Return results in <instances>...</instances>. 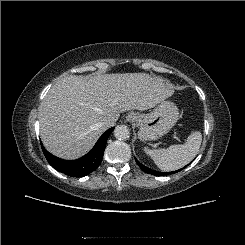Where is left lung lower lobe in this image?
Returning <instances> with one entry per match:
<instances>
[{"label":"left lung lower lobe","instance_id":"0a47b994","mask_svg":"<svg viewBox=\"0 0 245 245\" xmlns=\"http://www.w3.org/2000/svg\"><path fill=\"white\" fill-rule=\"evenodd\" d=\"M135 160H136L138 166H139L144 172H146V173H149V174H152V175H158V176H162V175H167V174H169V173H165V172H157V171L151 170V169L145 167L144 165H142L137 159H135ZM175 172H177V171H173V172H170V173L173 174V173H175Z\"/></svg>","mask_w":245,"mask_h":245}]
</instances>
